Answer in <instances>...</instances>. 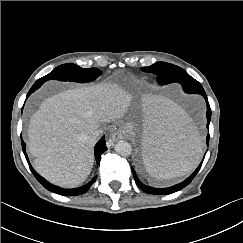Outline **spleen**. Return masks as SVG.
Here are the masks:
<instances>
[{
  "label": "spleen",
  "instance_id": "spleen-1",
  "mask_svg": "<svg viewBox=\"0 0 243 243\" xmlns=\"http://www.w3.org/2000/svg\"><path fill=\"white\" fill-rule=\"evenodd\" d=\"M204 144L186 112L160 97L144 98L140 150L146 171L157 179H172L192 171Z\"/></svg>",
  "mask_w": 243,
  "mask_h": 243
}]
</instances>
